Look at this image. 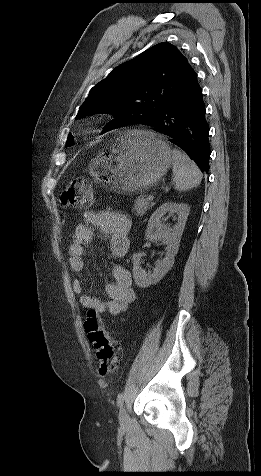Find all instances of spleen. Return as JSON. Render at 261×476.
<instances>
[{
	"instance_id": "spleen-1",
	"label": "spleen",
	"mask_w": 261,
	"mask_h": 476,
	"mask_svg": "<svg viewBox=\"0 0 261 476\" xmlns=\"http://www.w3.org/2000/svg\"><path fill=\"white\" fill-rule=\"evenodd\" d=\"M172 171L174 187L178 191H187L197 187L202 180V173L197 165L180 150L173 149Z\"/></svg>"
}]
</instances>
